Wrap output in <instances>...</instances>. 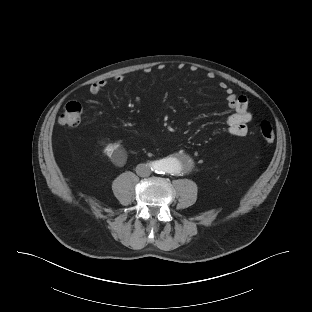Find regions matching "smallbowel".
<instances>
[{
    "label": "small bowel",
    "mask_w": 312,
    "mask_h": 312,
    "mask_svg": "<svg viewBox=\"0 0 312 312\" xmlns=\"http://www.w3.org/2000/svg\"><path fill=\"white\" fill-rule=\"evenodd\" d=\"M207 77L211 79L214 75L209 73ZM114 80L116 82H121L123 80V76L118 75L114 78ZM107 83L108 81L105 79L93 83L89 88V93L92 96H97L107 85ZM219 86L226 95L228 107L233 110V113L227 120L228 132L232 136L243 137L247 134L248 123L252 119V114L248 110V99L244 95H236L232 88L226 83L222 82Z\"/></svg>",
    "instance_id": "c3829d8e"
}]
</instances>
